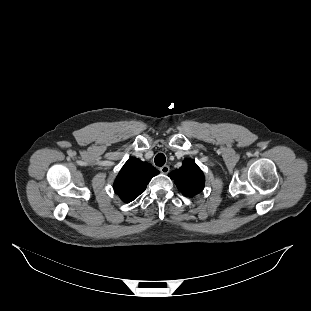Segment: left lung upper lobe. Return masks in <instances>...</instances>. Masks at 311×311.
Instances as JSON below:
<instances>
[{"mask_svg": "<svg viewBox=\"0 0 311 311\" xmlns=\"http://www.w3.org/2000/svg\"><path fill=\"white\" fill-rule=\"evenodd\" d=\"M179 191L187 197L200 193L205 184L204 174L193 160L185 159L182 166L170 172Z\"/></svg>", "mask_w": 311, "mask_h": 311, "instance_id": "5c2ea615", "label": "left lung upper lobe"}]
</instances>
